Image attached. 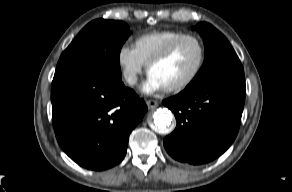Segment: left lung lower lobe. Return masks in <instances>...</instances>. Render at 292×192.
Returning <instances> with one entry per match:
<instances>
[{
	"mask_svg": "<svg viewBox=\"0 0 292 192\" xmlns=\"http://www.w3.org/2000/svg\"><path fill=\"white\" fill-rule=\"evenodd\" d=\"M245 95V79L224 78L186 87L164 100L177 120L164 139L168 154L193 165L222 155L237 136Z\"/></svg>",
	"mask_w": 292,
	"mask_h": 192,
	"instance_id": "left-lung-lower-lobe-1",
	"label": "left lung lower lobe"
}]
</instances>
